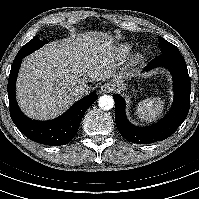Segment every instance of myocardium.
<instances>
[{
  "instance_id": "f54148a6",
  "label": "myocardium",
  "mask_w": 199,
  "mask_h": 199,
  "mask_svg": "<svg viewBox=\"0 0 199 199\" xmlns=\"http://www.w3.org/2000/svg\"><path fill=\"white\" fill-rule=\"evenodd\" d=\"M136 60H137V59H136V57H135V58L132 60V63H136Z\"/></svg>"
}]
</instances>
